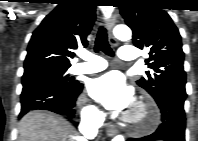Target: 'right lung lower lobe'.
Masks as SVG:
<instances>
[{
  "label": "right lung lower lobe",
  "mask_w": 198,
  "mask_h": 141,
  "mask_svg": "<svg viewBox=\"0 0 198 141\" xmlns=\"http://www.w3.org/2000/svg\"><path fill=\"white\" fill-rule=\"evenodd\" d=\"M83 85L62 89L51 84H30L23 86L19 118L31 110H48L68 118L75 114L74 106Z\"/></svg>",
  "instance_id": "98d812e1"
}]
</instances>
